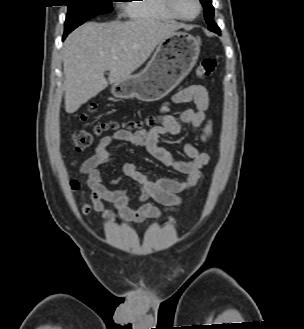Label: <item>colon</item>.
I'll return each mask as SVG.
<instances>
[{
  "instance_id": "1",
  "label": "colon",
  "mask_w": 304,
  "mask_h": 329,
  "mask_svg": "<svg viewBox=\"0 0 304 329\" xmlns=\"http://www.w3.org/2000/svg\"><path fill=\"white\" fill-rule=\"evenodd\" d=\"M216 63L211 58L202 59L196 69V75L198 77H206L214 72ZM97 106L91 103L87 106L86 112L80 115V120L85 121L88 118V114L96 110ZM162 122V117L159 116H147L146 118L135 121L129 124L131 129L144 130L143 128L156 127ZM108 130L107 124L96 125L92 130H81L75 133L71 137V143L74 149L82 151L88 149L94 142V140ZM71 189L76 191L79 189V184L76 181H72L70 185Z\"/></svg>"
}]
</instances>
